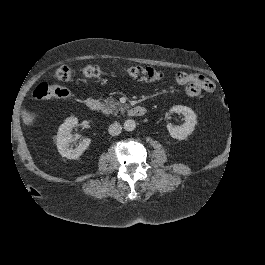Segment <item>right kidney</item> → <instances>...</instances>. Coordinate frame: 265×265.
<instances>
[{
    "instance_id": "right-kidney-1",
    "label": "right kidney",
    "mask_w": 265,
    "mask_h": 265,
    "mask_svg": "<svg viewBox=\"0 0 265 265\" xmlns=\"http://www.w3.org/2000/svg\"><path fill=\"white\" fill-rule=\"evenodd\" d=\"M77 124L78 119L76 117H68L58 129L56 139L57 149L61 156L68 159L79 158L82 153L88 148L91 142L90 138H84L75 149H72L70 147V143L73 139L71 131Z\"/></svg>"
}]
</instances>
